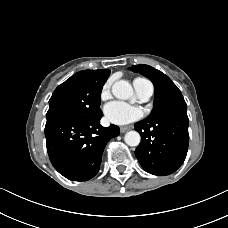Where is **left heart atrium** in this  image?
Here are the masks:
<instances>
[{
  "label": "left heart atrium",
  "instance_id": "left-heart-atrium-1",
  "mask_svg": "<svg viewBox=\"0 0 228 228\" xmlns=\"http://www.w3.org/2000/svg\"><path fill=\"white\" fill-rule=\"evenodd\" d=\"M105 118L116 125H126L140 119L143 110L121 101H113L104 107Z\"/></svg>",
  "mask_w": 228,
  "mask_h": 228
}]
</instances>
